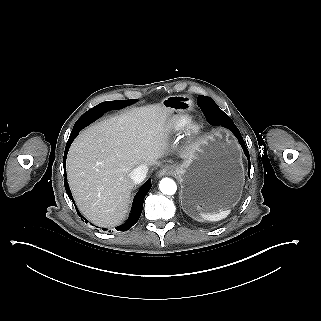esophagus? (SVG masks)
<instances>
[{"label":"esophagus","mask_w":321,"mask_h":321,"mask_svg":"<svg viewBox=\"0 0 321 321\" xmlns=\"http://www.w3.org/2000/svg\"><path fill=\"white\" fill-rule=\"evenodd\" d=\"M166 174L173 175L174 174V167L171 165L164 166L163 168H161L157 171L156 176L161 177Z\"/></svg>","instance_id":"1"}]
</instances>
